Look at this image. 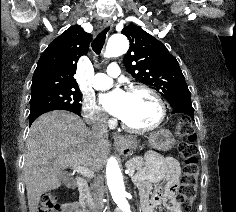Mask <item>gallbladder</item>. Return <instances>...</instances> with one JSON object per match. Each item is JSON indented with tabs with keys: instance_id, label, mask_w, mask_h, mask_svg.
I'll list each match as a JSON object with an SVG mask.
<instances>
[{
	"instance_id": "gallbladder-1",
	"label": "gallbladder",
	"mask_w": 236,
	"mask_h": 212,
	"mask_svg": "<svg viewBox=\"0 0 236 212\" xmlns=\"http://www.w3.org/2000/svg\"><path fill=\"white\" fill-rule=\"evenodd\" d=\"M60 180L62 183H64L66 186H72L74 184V181L72 177L66 173H61L60 174Z\"/></svg>"
}]
</instances>
